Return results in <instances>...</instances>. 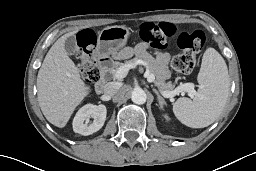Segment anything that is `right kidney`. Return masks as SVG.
Instances as JSON below:
<instances>
[{"label": "right kidney", "instance_id": "obj_1", "mask_svg": "<svg viewBox=\"0 0 256 171\" xmlns=\"http://www.w3.org/2000/svg\"><path fill=\"white\" fill-rule=\"evenodd\" d=\"M107 109L103 104H87L79 109L73 119V130L76 133L87 136L91 135L102 128L106 120ZM89 117H94L92 124L84 123Z\"/></svg>", "mask_w": 256, "mask_h": 171}]
</instances>
